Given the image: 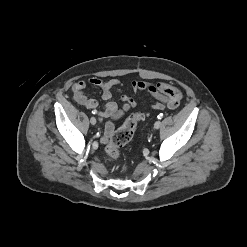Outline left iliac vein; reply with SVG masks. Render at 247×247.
I'll use <instances>...</instances> for the list:
<instances>
[{"label": "left iliac vein", "instance_id": "left-iliac-vein-1", "mask_svg": "<svg viewBox=\"0 0 247 247\" xmlns=\"http://www.w3.org/2000/svg\"><path fill=\"white\" fill-rule=\"evenodd\" d=\"M161 126V122L160 121H156L155 124H154V128L155 129H159Z\"/></svg>", "mask_w": 247, "mask_h": 247}]
</instances>
